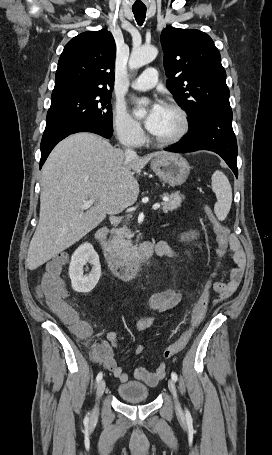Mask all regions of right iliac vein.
I'll list each match as a JSON object with an SVG mask.
<instances>
[{
    "instance_id": "1",
    "label": "right iliac vein",
    "mask_w": 272,
    "mask_h": 455,
    "mask_svg": "<svg viewBox=\"0 0 272 455\" xmlns=\"http://www.w3.org/2000/svg\"><path fill=\"white\" fill-rule=\"evenodd\" d=\"M105 386H106V383H105V380H100L98 382V385H97V391H96V400L99 401V399L101 398V396L103 395L104 393V390H105ZM98 412V407L96 405L95 409H94V414H96Z\"/></svg>"
}]
</instances>
